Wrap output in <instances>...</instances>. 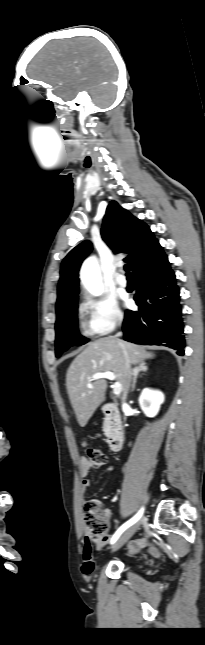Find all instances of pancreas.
<instances>
[{
  "label": "pancreas",
  "instance_id": "obj_1",
  "mask_svg": "<svg viewBox=\"0 0 205 645\" xmlns=\"http://www.w3.org/2000/svg\"><path fill=\"white\" fill-rule=\"evenodd\" d=\"M103 431H104L105 434H107V432H108L107 421H105V423H104Z\"/></svg>",
  "mask_w": 205,
  "mask_h": 645
}]
</instances>
